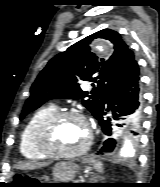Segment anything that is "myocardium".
Instances as JSON below:
<instances>
[{"mask_svg":"<svg viewBox=\"0 0 160 187\" xmlns=\"http://www.w3.org/2000/svg\"><path fill=\"white\" fill-rule=\"evenodd\" d=\"M77 118L83 122L87 129L88 137L85 145L73 152L61 151L55 146V136L58 125L65 119ZM93 142V132L87 117L76 110H61L52 113L41 124L38 132V145L48 157L57 159H75L85 155Z\"/></svg>","mask_w":160,"mask_h":187,"instance_id":"f54148a6","label":"myocardium"}]
</instances>
